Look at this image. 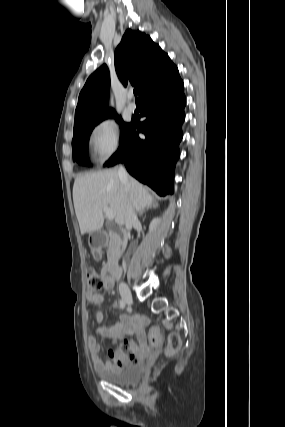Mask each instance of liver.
Returning a JSON list of instances; mask_svg holds the SVG:
<instances>
[{
  "label": "liver",
  "mask_w": 285,
  "mask_h": 427,
  "mask_svg": "<svg viewBox=\"0 0 285 427\" xmlns=\"http://www.w3.org/2000/svg\"><path fill=\"white\" fill-rule=\"evenodd\" d=\"M130 195L127 196L118 171L108 169L78 176L73 185V202L81 234L99 231L104 223L103 208L115 211V222L125 223L128 202L141 211L152 203V196L137 180L129 178Z\"/></svg>",
  "instance_id": "liver-1"
}]
</instances>
